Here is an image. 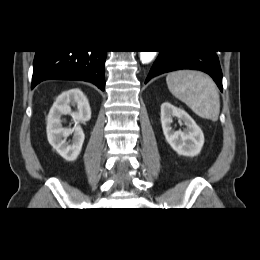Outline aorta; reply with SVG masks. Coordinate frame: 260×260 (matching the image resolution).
Here are the masks:
<instances>
[{
    "mask_svg": "<svg viewBox=\"0 0 260 260\" xmlns=\"http://www.w3.org/2000/svg\"><path fill=\"white\" fill-rule=\"evenodd\" d=\"M156 51H141L140 60L142 63H150L156 56Z\"/></svg>",
    "mask_w": 260,
    "mask_h": 260,
    "instance_id": "obj_1",
    "label": "aorta"
}]
</instances>
